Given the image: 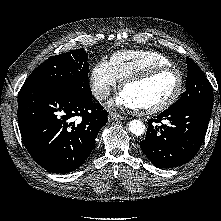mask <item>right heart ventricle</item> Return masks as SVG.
<instances>
[{"label": "right heart ventricle", "instance_id": "obj_1", "mask_svg": "<svg viewBox=\"0 0 221 221\" xmlns=\"http://www.w3.org/2000/svg\"><path fill=\"white\" fill-rule=\"evenodd\" d=\"M109 63L118 81L151 67L172 65L166 56L151 50L118 51L111 56Z\"/></svg>", "mask_w": 221, "mask_h": 221}]
</instances>
